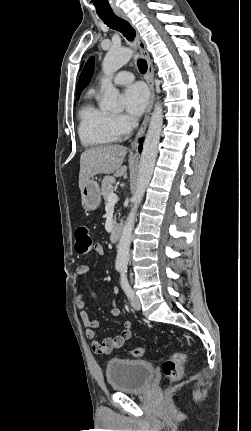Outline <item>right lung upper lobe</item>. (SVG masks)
Here are the masks:
<instances>
[{
    "label": "right lung upper lobe",
    "instance_id": "cb5924a9",
    "mask_svg": "<svg viewBox=\"0 0 251 431\" xmlns=\"http://www.w3.org/2000/svg\"><path fill=\"white\" fill-rule=\"evenodd\" d=\"M94 71V57H91L79 78L77 88H76V98L78 99L81 91L90 83Z\"/></svg>",
    "mask_w": 251,
    "mask_h": 431
}]
</instances>
